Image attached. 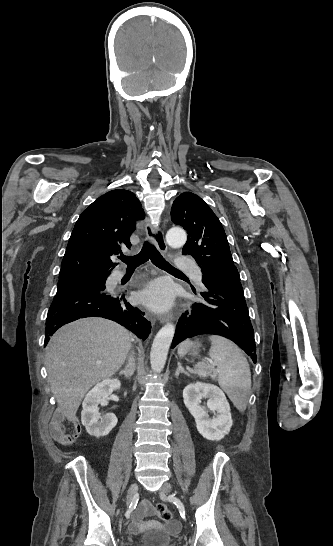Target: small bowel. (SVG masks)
<instances>
[{"label": "small bowel", "mask_w": 333, "mask_h": 546, "mask_svg": "<svg viewBox=\"0 0 333 546\" xmlns=\"http://www.w3.org/2000/svg\"><path fill=\"white\" fill-rule=\"evenodd\" d=\"M51 434L53 438L64 445L71 444L79 436L81 432V426L79 423H75L74 432L72 434H67L65 432V427L63 424V419L60 417H54L50 424ZM153 514V507L148 501H143L141 505L135 510L132 515V520L129 526L131 532L137 533L145 528L146 523L143 521V518L148 515ZM177 527V524H170L169 529H174Z\"/></svg>", "instance_id": "obj_1"}]
</instances>
